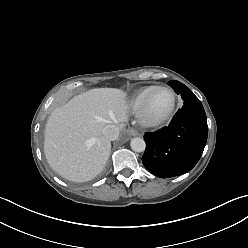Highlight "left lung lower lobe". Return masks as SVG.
<instances>
[{"label":"left lung lower lobe","mask_w":248,"mask_h":248,"mask_svg":"<svg viewBox=\"0 0 248 248\" xmlns=\"http://www.w3.org/2000/svg\"><path fill=\"white\" fill-rule=\"evenodd\" d=\"M208 136L204 108L197 97L184 103L170 125L155 133H146L142 157L152 174L169 178L190 171L200 159Z\"/></svg>","instance_id":"1"}]
</instances>
